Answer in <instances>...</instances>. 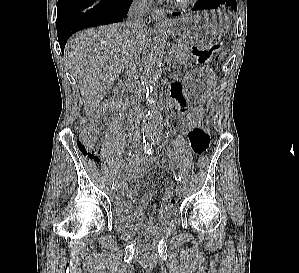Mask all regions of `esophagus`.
<instances>
[{
  "mask_svg": "<svg viewBox=\"0 0 299 273\" xmlns=\"http://www.w3.org/2000/svg\"><path fill=\"white\" fill-rule=\"evenodd\" d=\"M151 16L155 22L168 23L170 21L164 13V10L161 8H154L151 12Z\"/></svg>",
  "mask_w": 299,
  "mask_h": 273,
  "instance_id": "34e87169",
  "label": "esophagus"
}]
</instances>
